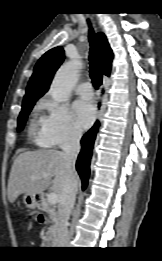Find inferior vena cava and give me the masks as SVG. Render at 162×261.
Returning <instances> with one entry per match:
<instances>
[{
	"mask_svg": "<svg viewBox=\"0 0 162 261\" xmlns=\"http://www.w3.org/2000/svg\"><path fill=\"white\" fill-rule=\"evenodd\" d=\"M82 133L79 131L72 132L66 142L62 145L64 158L66 161L68 176L67 182L61 196V207L59 209V247H68L70 239L68 232V220L75 204L77 194V184L74 181L73 172L75 171V162L80 152V139Z\"/></svg>",
	"mask_w": 162,
	"mask_h": 261,
	"instance_id": "602c4592",
	"label": "inferior vena cava"
}]
</instances>
